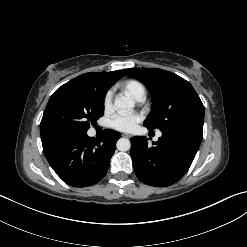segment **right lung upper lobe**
I'll list each match as a JSON object with an SVG mask.
<instances>
[{
  "label": "right lung upper lobe",
  "instance_id": "right-lung-upper-lobe-1",
  "mask_svg": "<svg viewBox=\"0 0 247 247\" xmlns=\"http://www.w3.org/2000/svg\"><path fill=\"white\" fill-rule=\"evenodd\" d=\"M124 75V72L122 70H117L113 72H90L82 74L71 81L67 82L66 84L62 85L57 90H60L67 85L75 82L85 81L93 84L95 87H97L100 90H103L107 92V90L122 76ZM56 90V91H57ZM42 141L47 140L45 138H41Z\"/></svg>",
  "mask_w": 247,
  "mask_h": 247
}]
</instances>
